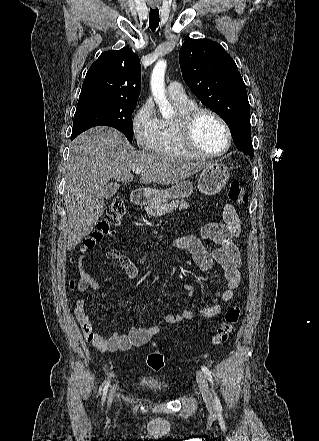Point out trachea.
<instances>
[{
    "label": "trachea",
    "instance_id": "obj_1",
    "mask_svg": "<svg viewBox=\"0 0 319 441\" xmlns=\"http://www.w3.org/2000/svg\"><path fill=\"white\" fill-rule=\"evenodd\" d=\"M159 10L158 8L152 9L150 8V14H149V27L152 31H155L157 27L159 26Z\"/></svg>",
    "mask_w": 319,
    "mask_h": 441
}]
</instances>
